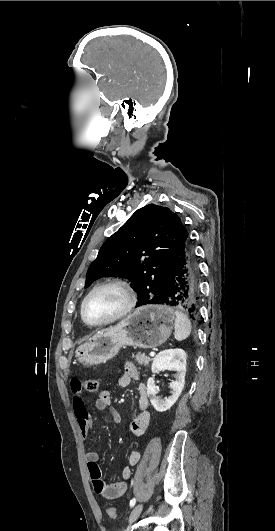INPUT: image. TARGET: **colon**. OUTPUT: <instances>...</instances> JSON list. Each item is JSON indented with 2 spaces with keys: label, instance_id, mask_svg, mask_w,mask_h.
Instances as JSON below:
<instances>
[{
  "label": "colon",
  "instance_id": "1",
  "mask_svg": "<svg viewBox=\"0 0 275 531\" xmlns=\"http://www.w3.org/2000/svg\"><path fill=\"white\" fill-rule=\"evenodd\" d=\"M83 392L95 393L99 390V383L97 378L85 379L82 383ZM108 513L111 515L112 522H117L116 510L114 508L108 509Z\"/></svg>",
  "mask_w": 275,
  "mask_h": 531
}]
</instances>
